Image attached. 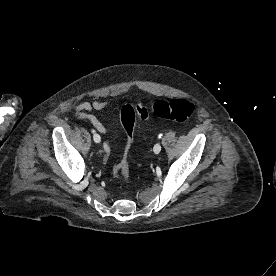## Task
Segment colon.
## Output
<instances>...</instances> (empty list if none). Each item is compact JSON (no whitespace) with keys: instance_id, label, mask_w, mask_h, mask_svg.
I'll return each instance as SVG.
<instances>
[{"instance_id":"colon-1","label":"colon","mask_w":276,"mask_h":276,"mask_svg":"<svg viewBox=\"0 0 276 276\" xmlns=\"http://www.w3.org/2000/svg\"><path fill=\"white\" fill-rule=\"evenodd\" d=\"M194 111V105L187 99L175 98L171 100L156 101L150 108L145 104H137L135 107L124 104L120 109V117L125 131L131 135L136 117L147 120L151 116L165 118L178 122L187 120ZM129 157L124 156L114 168V176L120 182L128 181Z\"/></svg>"}]
</instances>
